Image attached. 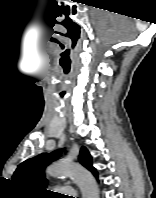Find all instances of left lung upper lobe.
<instances>
[{"label": "left lung upper lobe", "mask_w": 156, "mask_h": 198, "mask_svg": "<svg viewBox=\"0 0 156 198\" xmlns=\"http://www.w3.org/2000/svg\"><path fill=\"white\" fill-rule=\"evenodd\" d=\"M62 150H57L51 154L42 153L34 158L21 163L13 174L12 181L24 188L45 192L43 189L47 183L44 175L45 167L56 160ZM79 162L89 169L94 175L97 173L92 166V157L85 147H82L79 155Z\"/></svg>", "instance_id": "obj_1"}]
</instances>
